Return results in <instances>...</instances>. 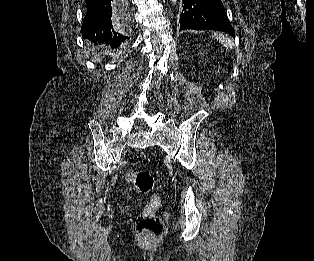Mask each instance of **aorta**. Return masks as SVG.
Instances as JSON below:
<instances>
[{"label": "aorta", "mask_w": 314, "mask_h": 261, "mask_svg": "<svg viewBox=\"0 0 314 261\" xmlns=\"http://www.w3.org/2000/svg\"><path fill=\"white\" fill-rule=\"evenodd\" d=\"M171 2H172L173 4H176L177 0H171Z\"/></svg>", "instance_id": "aorta-1"}]
</instances>
